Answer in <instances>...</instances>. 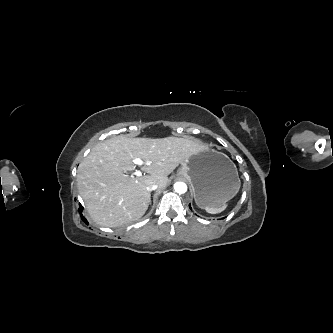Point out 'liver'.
Wrapping results in <instances>:
<instances>
[{
    "mask_svg": "<svg viewBox=\"0 0 333 333\" xmlns=\"http://www.w3.org/2000/svg\"><path fill=\"white\" fill-rule=\"evenodd\" d=\"M207 149L186 138H127L118 136L98 143L79 164L77 182L91 218L104 227H118L141 218L148 209L150 191L163 188L168 175L191 155ZM135 158L149 165L147 174L128 176Z\"/></svg>",
    "mask_w": 333,
    "mask_h": 333,
    "instance_id": "6515ba94",
    "label": "liver"
}]
</instances>
